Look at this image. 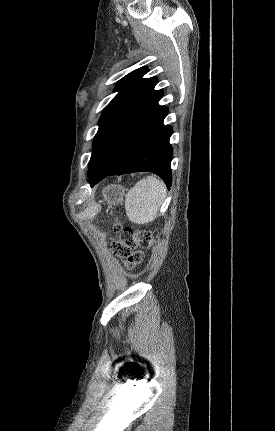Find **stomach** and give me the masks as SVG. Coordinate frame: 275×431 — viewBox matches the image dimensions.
I'll return each instance as SVG.
<instances>
[{
  "label": "stomach",
  "mask_w": 275,
  "mask_h": 431,
  "mask_svg": "<svg viewBox=\"0 0 275 431\" xmlns=\"http://www.w3.org/2000/svg\"><path fill=\"white\" fill-rule=\"evenodd\" d=\"M123 193H124V188L122 187L108 186L104 190V197L110 204L117 205L122 201Z\"/></svg>",
  "instance_id": "obj_1"
}]
</instances>
